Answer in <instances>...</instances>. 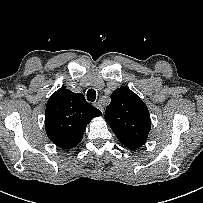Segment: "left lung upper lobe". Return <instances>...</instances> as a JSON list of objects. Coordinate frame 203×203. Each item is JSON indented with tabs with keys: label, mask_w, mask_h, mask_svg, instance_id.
Wrapping results in <instances>:
<instances>
[{
	"label": "left lung upper lobe",
	"mask_w": 203,
	"mask_h": 203,
	"mask_svg": "<svg viewBox=\"0 0 203 203\" xmlns=\"http://www.w3.org/2000/svg\"><path fill=\"white\" fill-rule=\"evenodd\" d=\"M105 120L124 146L136 149L146 143L151 119L145 103L129 88L120 87L111 95Z\"/></svg>",
	"instance_id": "1"
}]
</instances>
